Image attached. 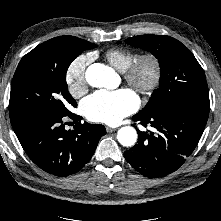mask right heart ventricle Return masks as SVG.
I'll list each match as a JSON object with an SVG mask.
<instances>
[{"mask_svg": "<svg viewBox=\"0 0 221 221\" xmlns=\"http://www.w3.org/2000/svg\"><path fill=\"white\" fill-rule=\"evenodd\" d=\"M137 56L136 52L122 47L111 48L105 53L108 62L122 72L127 69Z\"/></svg>", "mask_w": 221, "mask_h": 221, "instance_id": "1", "label": "right heart ventricle"}]
</instances>
